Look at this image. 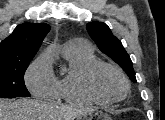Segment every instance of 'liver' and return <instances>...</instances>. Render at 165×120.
I'll use <instances>...</instances> for the list:
<instances>
[{
	"label": "liver",
	"instance_id": "obj_1",
	"mask_svg": "<svg viewBox=\"0 0 165 120\" xmlns=\"http://www.w3.org/2000/svg\"><path fill=\"white\" fill-rule=\"evenodd\" d=\"M93 111L91 108H65L34 99L9 100L0 98V120H73L82 114Z\"/></svg>",
	"mask_w": 165,
	"mask_h": 120
}]
</instances>
